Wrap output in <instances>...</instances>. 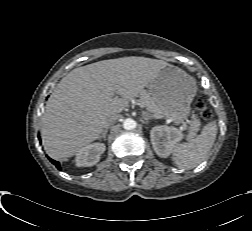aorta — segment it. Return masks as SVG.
<instances>
[{"mask_svg":"<svg viewBox=\"0 0 252 231\" xmlns=\"http://www.w3.org/2000/svg\"><path fill=\"white\" fill-rule=\"evenodd\" d=\"M123 127L126 130H132L136 127V122L131 118H127L123 122Z\"/></svg>","mask_w":252,"mask_h":231,"instance_id":"obj_1","label":"aorta"}]
</instances>
